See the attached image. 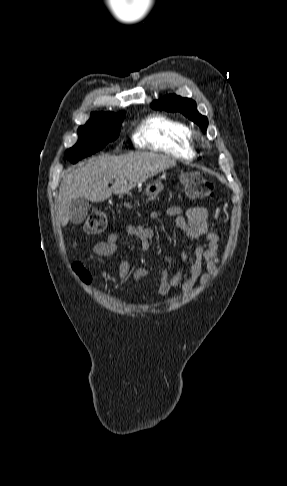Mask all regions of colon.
Returning a JSON list of instances; mask_svg holds the SVG:
<instances>
[{
	"mask_svg": "<svg viewBox=\"0 0 287 486\" xmlns=\"http://www.w3.org/2000/svg\"><path fill=\"white\" fill-rule=\"evenodd\" d=\"M182 184L185 194L189 197L207 199L214 196L215 190L213 184L198 173H185L182 177ZM106 227L107 217L102 211L92 212L84 223V230L89 234H99ZM75 271L83 281L89 282L90 275L81 264H75Z\"/></svg>",
	"mask_w": 287,
	"mask_h": 486,
	"instance_id": "1",
	"label": "colon"
}]
</instances>
